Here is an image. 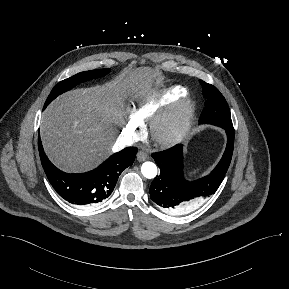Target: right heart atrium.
I'll return each instance as SVG.
<instances>
[{
  "instance_id": "obj_1",
  "label": "right heart atrium",
  "mask_w": 289,
  "mask_h": 289,
  "mask_svg": "<svg viewBox=\"0 0 289 289\" xmlns=\"http://www.w3.org/2000/svg\"><path fill=\"white\" fill-rule=\"evenodd\" d=\"M141 130V122H139L134 116H132L126 122L123 133L129 139H136L140 135Z\"/></svg>"
}]
</instances>
